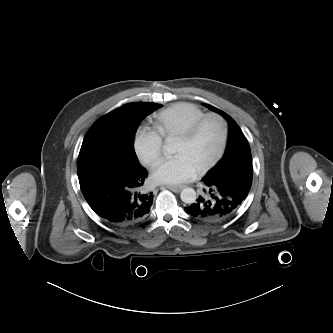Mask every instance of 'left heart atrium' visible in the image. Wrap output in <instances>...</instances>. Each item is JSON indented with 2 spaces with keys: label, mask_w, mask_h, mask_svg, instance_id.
Returning <instances> with one entry per match:
<instances>
[{
  "label": "left heart atrium",
  "mask_w": 333,
  "mask_h": 333,
  "mask_svg": "<svg viewBox=\"0 0 333 333\" xmlns=\"http://www.w3.org/2000/svg\"><path fill=\"white\" fill-rule=\"evenodd\" d=\"M198 169L184 154H176L159 162L152 172L156 183L177 185L196 177Z\"/></svg>",
  "instance_id": "39dd6f15"
}]
</instances>
